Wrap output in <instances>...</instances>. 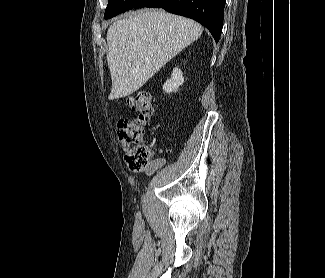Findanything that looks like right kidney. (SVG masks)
I'll return each instance as SVG.
<instances>
[{"label":"right kidney","mask_w":325,"mask_h":278,"mask_svg":"<svg viewBox=\"0 0 325 278\" xmlns=\"http://www.w3.org/2000/svg\"><path fill=\"white\" fill-rule=\"evenodd\" d=\"M184 83L183 73L179 68H174L171 74V78L168 79L164 85L163 90L166 93L176 92L178 87Z\"/></svg>","instance_id":"ca27d5eb"}]
</instances>
